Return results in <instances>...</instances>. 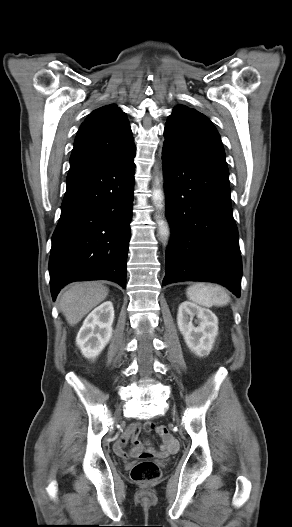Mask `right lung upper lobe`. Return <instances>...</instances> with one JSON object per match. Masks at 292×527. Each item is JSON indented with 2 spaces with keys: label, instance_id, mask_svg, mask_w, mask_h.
<instances>
[{
  "label": "right lung upper lobe",
  "instance_id": "obj_1",
  "mask_svg": "<svg viewBox=\"0 0 292 527\" xmlns=\"http://www.w3.org/2000/svg\"><path fill=\"white\" fill-rule=\"evenodd\" d=\"M133 136L126 115L115 104L89 114L79 129L70 162L118 157L134 150Z\"/></svg>",
  "mask_w": 292,
  "mask_h": 527
}]
</instances>
